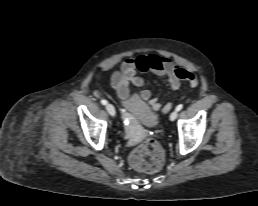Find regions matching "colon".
Returning a JSON list of instances; mask_svg holds the SVG:
<instances>
[{
	"label": "colon",
	"instance_id": "1",
	"mask_svg": "<svg viewBox=\"0 0 258 206\" xmlns=\"http://www.w3.org/2000/svg\"><path fill=\"white\" fill-rule=\"evenodd\" d=\"M195 81L190 85L195 86ZM130 164L137 170L156 172L164 163V152L160 144L153 138H147L130 154Z\"/></svg>",
	"mask_w": 258,
	"mask_h": 206
}]
</instances>
